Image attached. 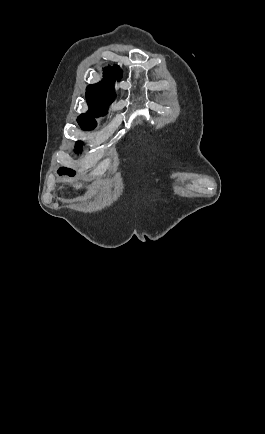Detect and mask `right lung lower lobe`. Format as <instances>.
I'll list each match as a JSON object with an SVG mask.
<instances>
[{"label": "right lung lower lobe", "instance_id": "obj_1", "mask_svg": "<svg viewBox=\"0 0 265 434\" xmlns=\"http://www.w3.org/2000/svg\"><path fill=\"white\" fill-rule=\"evenodd\" d=\"M58 173H59L60 175H62V174H66V173H64V172H60V171H58Z\"/></svg>", "mask_w": 265, "mask_h": 434}]
</instances>
